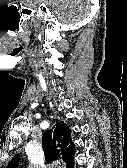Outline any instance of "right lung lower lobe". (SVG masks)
<instances>
[{
  "mask_svg": "<svg viewBox=\"0 0 127 168\" xmlns=\"http://www.w3.org/2000/svg\"><path fill=\"white\" fill-rule=\"evenodd\" d=\"M73 166H74V163L72 164V166L70 168H73Z\"/></svg>",
  "mask_w": 127,
  "mask_h": 168,
  "instance_id": "1",
  "label": "right lung lower lobe"
}]
</instances>
